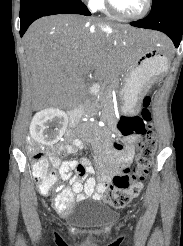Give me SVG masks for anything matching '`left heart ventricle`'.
<instances>
[{
  "mask_svg": "<svg viewBox=\"0 0 183 246\" xmlns=\"http://www.w3.org/2000/svg\"><path fill=\"white\" fill-rule=\"evenodd\" d=\"M116 9L124 15H136L145 5V0H112Z\"/></svg>",
  "mask_w": 183,
  "mask_h": 246,
  "instance_id": "1",
  "label": "left heart ventricle"
}]
</instances>
